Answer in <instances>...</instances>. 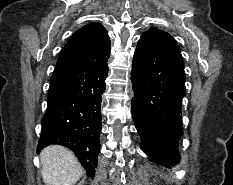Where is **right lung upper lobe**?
<instances>
[{
    "label": "right lung upper lobe",
    "instance_id": "1",
    "mask_svg": "<svg viewBox=\"0 0 233 185\" xmlns=\"http://www.w3.org/2000/svg\"><path fill=\"white\" fill-rule=\"evenodd\" d=\"M110 39L100 23L77 30L62 49L55 69L75 66H98L110 56Z\"/></svg>",
    "mask_w": 233,
    "mask_h": 185
}]
</instances>
